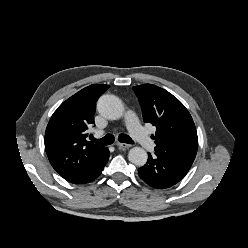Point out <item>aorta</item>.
I'll return each mask as SVG.
<instances>
[{
    "label": "aorta",
    "instance_id": "aorta-1",
    "mask_svg": "<svg viewBox=\"0 0 248 248\" xmlns=\"http://www.w3.org/2000/svg\"><path fill=\"white\" fill-rule=\"evenodd\" d=\"M97 110L100 115L110 120L120 119L124 112L122 101L115 95L106 94L99 98ZM148 155L141 147H133L129 150L128 159L136 166H143L147 162Z\"/></svg>",
    "mask_w": 248,
    "mask_h": 248
}]
</instances>
